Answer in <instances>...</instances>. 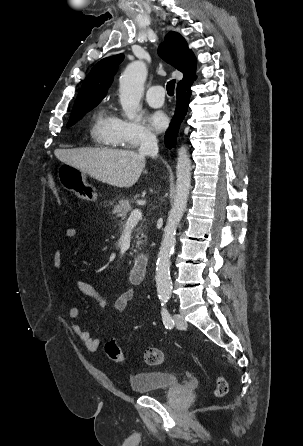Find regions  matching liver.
Returning <instances> with one entry per match:
<instances>
[{"label":"liver","instance_id":"obj_1","mask_svg":"<svg viewBox=\"0 0 303 446\" xmlns=\"http://www.w3.org/2000/svg\"><path fill=\"white\" fill-rule=\"evenodd\" d=\"M55 156L94 179L112 186L129 188L139 179L145 155L131 150L79 148L57 149Z\"/></svg>","mask_w":303,"mask_h":446}]
</instances>
